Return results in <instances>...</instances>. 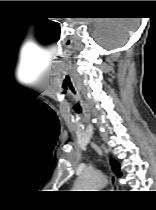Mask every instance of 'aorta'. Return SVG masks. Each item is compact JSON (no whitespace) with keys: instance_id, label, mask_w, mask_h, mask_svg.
<instances>
[{"instance_id":"1","label":"aorta","mask_w":156,"mask_h":210,"mask_svg":"<svg viewBox=\"0 0 156 210\" xmlns=\"http://www.w3.org/2000/svg\"><path fill=\"white\" fill-rule=\"evenodd\" d=\"M106 184L105 176L96 170H85L77 179L78 191H96Z\"/></svg>"}]
</instances>
